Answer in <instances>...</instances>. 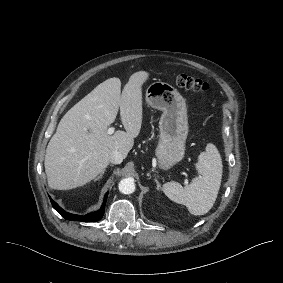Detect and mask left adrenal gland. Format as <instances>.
<instances>
[{
    "label": "left adrenal gland",
    "mask_w": 283,
    "mask_h": 283,
    "mask_svg": "<svg viewBox=\"0 0 283 283\" xmlns=\"http://www.w3.org/2000/svg\"><path fill=\"white\" fill-rule=\"evenodd\" d=\"M154 180H155V182H156V189H159V188L161 187V184H160V182L158 181L157 174H155Z\"/></svg>",
    "instance_id": "1"
}]
</instances>
